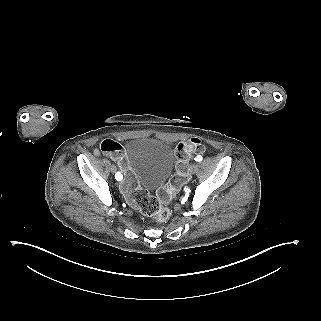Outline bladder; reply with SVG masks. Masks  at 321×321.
<instances>
[{
  "label": "bladder",
  "mask_w": 321,
  "mask_h": 321,
  "mask_svg": "<svg viewBox=\"0 0 321 321\" xmlns=\"http://www.w3.org/2000/svg\"><path fill=\"white\" fill-rule=\"evenodd\" d=\"M126 157L137 182L145 189H159L174 161L171 146L150 137L134 138L126 144Z\"/></svg>",
  "instance_id": "31cf9c89"
}]
</instances>
